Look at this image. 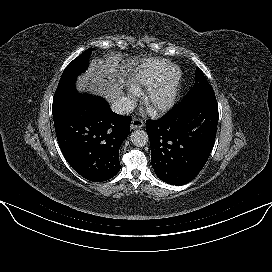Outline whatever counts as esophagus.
I'll return each instance as SVG.
<instances>
[{
  "label": "esophagus",
  "mask_w": 272,
  "mask_h": 272,
  "mask_svg": "<svg viewBox=\"0 0 272 272\" xmlns=\"http://www.w3.org/2000/svg\"><path fill=\"white\" fill-rule=\"evenodd\" d=\"M144 127V122L140 118H134L131 122V129H140Z\"/></svg>",
  "instance_id": "esophagus-1"
}]
</instances>
